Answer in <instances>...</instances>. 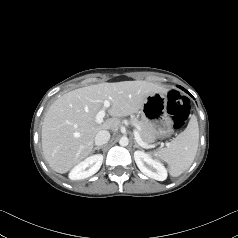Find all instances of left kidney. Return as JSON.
<instances>
[{
	"mask_svg": "<svg viewBox=\"0 0 238 238\" xmlns=\"http://www.w3.org/2000/svg\"><path fill=\"white\" fill-rule=\"evenodd\" d=\"M134 159L140 171L146 176L158 181H164L167 178V170L163 164L152 159L145 152L135 151Z\"/></svg>",
	"mask_w": 238,
	"mask_h": 238,
	"instance_id": "1",
	"label": "left kidney"
}]
</instances>
